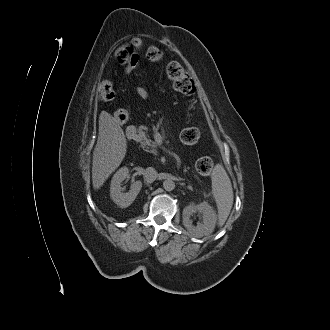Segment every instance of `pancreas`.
I'll return each instance as SVG.
<instances>
[{
  "mask_svg": "<svg viewBox=\"0 0 330 330\" xmlns=\"http://www.w3.org/2000/svg\"><path fill=\"white\" fill-rule=\"evenodd\" d=\"M139 139H140L141 144L147 150L151 147V149L148 150L149 152L156 153V150L154 149L155 148V143L152 140L148 139L147 135L144 132L140 131V138Z\"/></svg>",
  "mask_w": 330,
  "mask_h": 330,
  "instance_id": "pancreas-1",
  "label": "pancreas"
}]
</instances>
